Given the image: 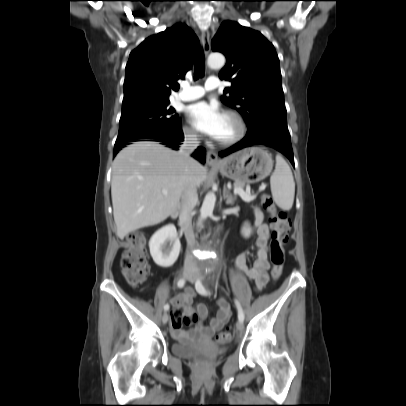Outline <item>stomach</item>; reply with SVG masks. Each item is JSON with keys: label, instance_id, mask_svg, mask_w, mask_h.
I'll return each instance as SVG.
<instances>
[{"label": "stomach", "instance_id": "1", "mask_svg": "<svg viewBox=\"0 0 406 406\" xmlns=\"http://www.w3.org/2000/svg\"><path fill=\"white\" fill-rule=\"evenodd\" d=\"M216 168L223 176L233 179L235 184L245 185L266 178L272 171L273 160L264 148L255 146L226 157Z\"/></svg>", "mask_w": 406, "mask_h": 406}]
</instances>
